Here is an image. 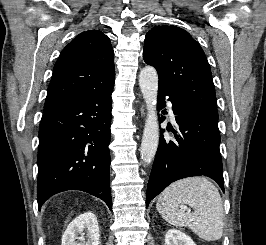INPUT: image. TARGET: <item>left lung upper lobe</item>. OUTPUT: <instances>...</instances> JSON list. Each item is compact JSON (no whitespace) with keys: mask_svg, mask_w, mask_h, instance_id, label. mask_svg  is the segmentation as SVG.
Instances as JSON below:
<instances>
[{"mask_svg":"<svg viewBox=\"0 0 266 245\" xmlns=\"http://www.w3.org/2000/svg\"><path fill=\"white\" fill-rule=\"evenodd\" d=\"M144 61L158 72L159 86L218 116L210 65L191 35L176 26H155L145 38Z\"/></svg>","mask_w":266,"mask_h":245,"instance_id":"5c2ea615","label":"left lung upper lobe"}]
</instances>
